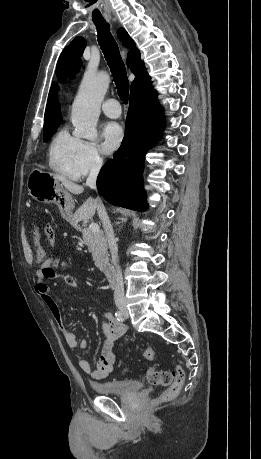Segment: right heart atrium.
<instances>
[{"instance_id": "right-heart-atrium-1", "label": "right heart atrium", "mask_w": 261, "mask_h": 459, "mask_svg": "<svg viewBox=\"0 0 261 459\" xmlns=\"http://www.w3.org/2000/svg\"><path fill=\"white\" fill-rule=\"evenodd\" d=\"M104 163L103 156L95 142L80 140L75 167L79 177L98 171Z\"/></svg>"}]
</instances>
